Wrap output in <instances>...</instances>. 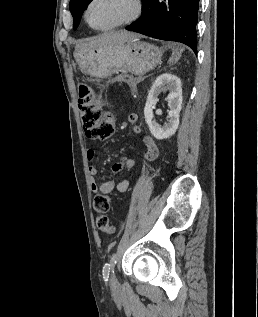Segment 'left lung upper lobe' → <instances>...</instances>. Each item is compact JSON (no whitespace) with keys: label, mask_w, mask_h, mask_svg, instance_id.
Returning a JSON list of instances; mask_svg holds the SVG:
<instances>
[{"label":"left lung upper lobe","mask_w":258,"mask_h":317,"mask_svg":"<svg viewBox=\"0 0 258 317\" xmlns=\"http://www.w3.org/2000/svg\"><path fill=\"white\" fill-rule=\"evenodd\" d=\"M92 0H70V11L73 16V28L76 30L83 11L87 8ZM144 2V0H142Z\"/></svg>","instance_id":"1"}]
</instances>
